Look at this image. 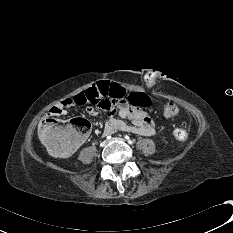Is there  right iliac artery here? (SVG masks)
Instances as JSON below:
<instances>
[{"label": "right iliac artery", "instance_id": "obj_1", "mask_svg": "<svg viewBox=\"0 0 233 233\" xmlns=\"http://www.w3.org/2000/svg\"><path fill=\"white\" fill-rule=\"evenodd\" d=\"M106 138H107V139H111V136L109 135V136H107Z\"/></svg>", "mask_w": 233, "mask_h": 233}]
</instances>
